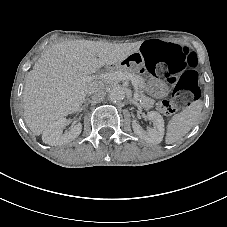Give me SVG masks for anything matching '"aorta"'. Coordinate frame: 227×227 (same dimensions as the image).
Instances as JSON below:
<instances>
[{"label":"aorta","instance_id":"aorta-1","mask_svg":"<svg viewBox=\"0 0 227 227\" xmlns=\"http://www.w3.org/2000/svg\"><path fill=\"white\" fill-rule=\"evenodd\" d=\"M125 97L124 88L121 86H116L112 88L108 94V98L112 102H119Z\"/></svg>","mask_w":227,"mask_h":227}]
</instances>
